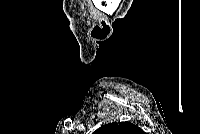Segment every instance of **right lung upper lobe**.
<instances>
[{"instance_id":"right-lung-upper-lobe-1","label":"right lung upper lobe","mask_w":200,"mask_h":134,"mask_svg":"<svg viewBox=\"0 0 200 134\" xmlns=\"http://www.w3.org/2000/svg\"><path fill=\"white\" fill-rule=\"evenodd\" d=\"M94 134H143V131L130 122H113L97 129Z\"/></svg>"}]
</instances>
